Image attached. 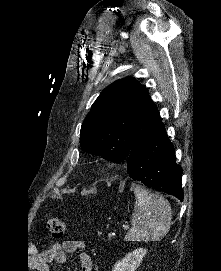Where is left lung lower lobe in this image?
Returning a JSON list of instances; mask_svg holds the SVG:
<instances>
[{
	"mask_svg": "<svg viewBox=\"0 0 221 271\" xmlns=\"http://www.w3.org/2000/svg\"><path fill=\"white\" fill-rule=\"evenodd\" d=\"M127 171L134 180L183 201L182 168L176 164L174 147L163 123L131 149L127 158Z\"/></svg>",
	"mask_w": 221,
	"mask_h": 271,
	"instance_id": "left-lung-lower-lobe-1",
	"label": "left lung lower lobe"
}]
</instances>
